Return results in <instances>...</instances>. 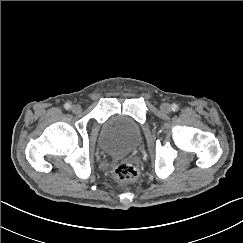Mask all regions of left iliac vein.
Wrapping results in <instances>:
<instances>
[{"label": "left iliac vein", "mask_w": 243, "mask_h": 243, "mask_svg": "<svg viewBox=\"0 0 243 243\" xmlns=\"http://www.w3.org/2000/svg\"><path fill=\"white\" fill-rule=\"evenodd\" d=\"M160 110L163 112V113H169L171 111V105L169 103H163L161 106H160Z\"/></svg>", "instance_id": "4c4485c4"}]
</instances>
